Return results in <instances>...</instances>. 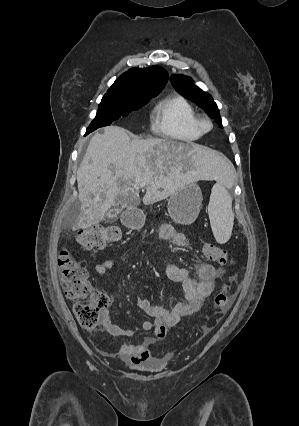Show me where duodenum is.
<instances>
[{"instance_id":"1","label":"duodenum","mask_w":299,"mask_h":426,"mask_svg":"<svg viewBox=\"0 0 299 426\" xmlns=\"http://www.w3.org/2000/svg\"><path fill=\"white\" fill-rule=\"evenodd\" d=\"M124 222L128 225H131L135 222V214L130 211L124 215Z\"/></svg>"}]
</instances>
